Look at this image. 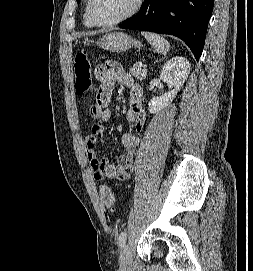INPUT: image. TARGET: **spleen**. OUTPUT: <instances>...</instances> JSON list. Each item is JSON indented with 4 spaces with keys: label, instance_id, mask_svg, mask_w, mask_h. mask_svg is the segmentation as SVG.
Segmentation results:
<instances>
[{
    "label": "spleen",
    "instance_id": "obj_1",
    "mask_svg": "<svg viewBox=\"0 0 253 271\" xmlns=\"http://www.w3.org/2000/svg\"><path fill=\"white\" fill-rule=\"evenodd\" d=\"M141 34L158 53H161L163 55H166L168 53L170 49V44L165 38L152 32L142 31Z\"/></svg>",
    "mask_w": 253,
    "mask_h": 271
}]
</instances>
